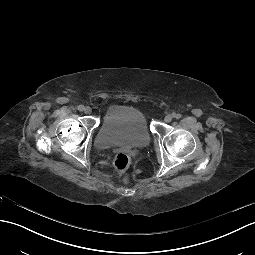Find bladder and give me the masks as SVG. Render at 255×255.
<instances>
[{"mask_svg": "<svg viewBox=\"0 0 255 255\" xmlns=\"http://www.w3.org/2000/svg\"><path fill=\"white\" fill-rule=\"evenodd\" d=\"M151 138V131L140 109L117 105L103 120L96 144L101 148L118 145L134 147L148 144Z\"/></svg>", "mask_w": 255, "mask_h": 255, "instance_id": "1", "label": "bladder"}]
</instances>
